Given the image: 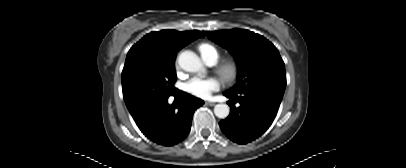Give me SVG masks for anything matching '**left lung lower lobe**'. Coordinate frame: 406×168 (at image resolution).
I'll use <instances>...</instances> for the list:
<instances>
[{
    "mask_svg": "<svg viewBox=\"0 0 406 168\" xmlns=\"http://www.w3.org/2000/svg\"><path fill=\"white\" fill-rule=\"evenodd\" d=\"M230 100V115L219 125L233 142L246 144L261 136L272 124L283 94L271 91H251L235 95L225 92ZM240 104L235 107V103Z\"/></svg>",
    "mask_w": 406,
    "mask_h": 168,
    "instance_id": "left-lung-lower-lobe-1",
    "label": "left lung lower lobe"
}]
</instances>
